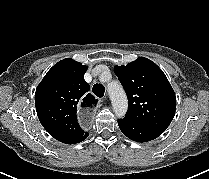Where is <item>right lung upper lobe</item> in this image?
<instances>
[{"mask_svg":"<svg viewBox=\"0 0 209 179\" xmlns=\"http://www.w3.org/2000/svg\"><path fill=\"white\" fill-rule=\"evenodd\" d=\"M87 66L66 58L55 64L42 79L35 92L38 118L46 131L55 139L78 143L84 132L77 120V108L89 109L98 100L88 91L84 80Z\"/></svg>","mask_w":209,"mask_h":179,"instance_id":"right-lung-upper-lobe-1","label":"right lung upper lobe"}]
</instances>
